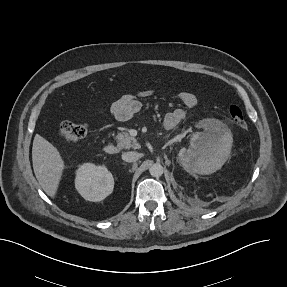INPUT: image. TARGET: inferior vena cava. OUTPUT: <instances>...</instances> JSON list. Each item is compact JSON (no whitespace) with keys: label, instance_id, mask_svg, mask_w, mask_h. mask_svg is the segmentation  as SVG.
<instances>
[{"label":"inferior vena cava","instance_id":"inferior-vena-cava-1","mask_svg":"<svg viewBox=\"0 0 287 287\" xmlns=\"http://www.w3.org/2000/svg\"><path fill=\"white\" fill-rule=\"evenodd\" d=\"M140 158V154L134 151L124 152L122 159L126 162H135Z\"/></svg>","mask_w":287,"mask_h":287}]
</instances>
